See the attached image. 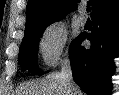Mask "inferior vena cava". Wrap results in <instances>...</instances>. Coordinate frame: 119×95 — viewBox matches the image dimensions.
<instances>
[{"instance_id":"602c4592","label":"inferior vena cava","mask_w":119,"mask_h":95,"mask_svg":"<svg viewBox=\"0 0 119 95\" xmlns=\"http://www.w3.org/2000/svg\"><path fill=\"white\" fill-rule=\"evenodd\" d=\"M59 77L67 86V91L69 95H80V90L76 86L72 77V69L70 64V59L66 56L61 63V71L59 72Z\"/></svg>"}]
</instances>
